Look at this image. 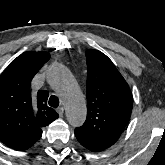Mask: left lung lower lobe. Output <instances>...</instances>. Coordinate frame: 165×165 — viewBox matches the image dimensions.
<instances>
[{
    "mask_svg": "<svg viewBox=\"0 0 165 165\" xmlns=\"http://www.w3.org/2000/svg\"><path fill=\"white\" fill-rule=\"evenodd\" d=\"M75 136L80 144L90 151L97 152L109 147L77 128L75 129Z\"/></svg>",
    "mask_w": 165,
    "mask_h": 165,
    "instance_id": "obj_1",
    "label": "left lung lower lobe"
}]
</instances>
